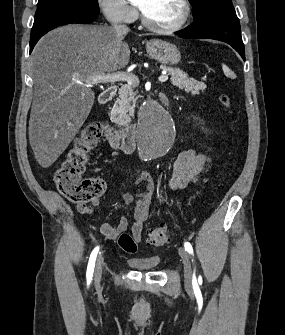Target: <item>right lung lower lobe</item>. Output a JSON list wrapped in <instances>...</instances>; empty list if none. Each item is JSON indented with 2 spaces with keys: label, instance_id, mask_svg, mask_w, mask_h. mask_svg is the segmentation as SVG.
<instances>
[{
  "label": "right lung lower lobe",
  "instance_id": "obj_1",
  "mask_svg": "<svg viewBox=\"0 0 285 335\" xmlns=\"http://www.w3.org/2000/svg\"><path fill=\"white\" fill-rule=\"evenodd\" d=\"M98 14H92L77 10H61L50 13L38 19H34V24L30 36V53L38 40L48 31L66 24L90 23L97 18Z\"/></svg>",
  "mask_w": 285,
  "mask_h": 335
}]
</instances>
